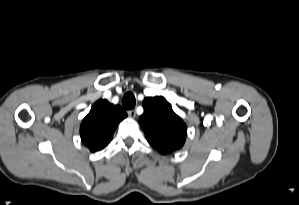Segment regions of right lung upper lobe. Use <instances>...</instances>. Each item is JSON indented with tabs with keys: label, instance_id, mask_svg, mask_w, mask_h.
Wrapping results in <instances>:
<instances>
[{
	"label": "right lung upper lobe",
	"instance_id": "obj_1",
	"mask_svg": "<svg viewBox=\"0 0 299 205\" xmlns=\"http://www.w3.org/2000/svg\"><path fill=\"white\" fill-rule=\"evenodd\" d=\"M127 116L120 106L98 100L80 126L82 142L91 152L102 150L113 137L118 123Z\"/></svg>",
	"mask_w": 299,
	"mask_h": 205
}]
</instances>
